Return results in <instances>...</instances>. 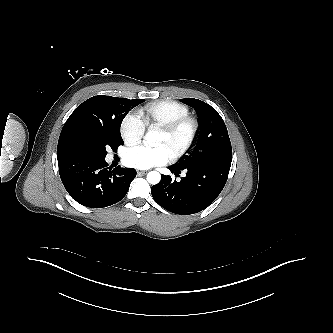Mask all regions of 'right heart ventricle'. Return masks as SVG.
<instances>
[{"mask_svg": "<svg viewBox=\"0 0 333 333\" xmlns=\"http://www.w3.org/2000/svg\"><path fill=\"white\" fill-rule=\"evenodd\" d=\"M189 114V107L177 100H157L147 103L139 110L145 127H161Z\"/></svg>", "mask_w": 333, "mask_h": 333, "instance_id": "1", "label": "right heart ventricle"}]
</instances>
